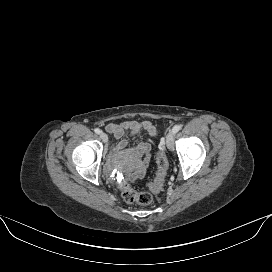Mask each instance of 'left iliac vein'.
<instances>
[{
  "mask_svg": "<svg viewBox=\"0 0 272 272\" xmlns=\"http://www.w3.org/2000/svg\"><path fill=\"white\" fill-rule=\"evenodd\" d=\"M166 145L168 149H172L174 146V133L170 131L166 136Z\"/></svg>",
  "mask_w": 272,
  "mask_h": 272,
  "instance_id": "4c4485c4",
  "label": "left iliac vein"
}]
</instances>
